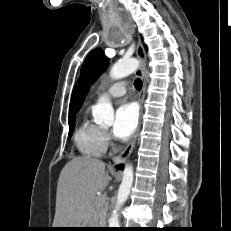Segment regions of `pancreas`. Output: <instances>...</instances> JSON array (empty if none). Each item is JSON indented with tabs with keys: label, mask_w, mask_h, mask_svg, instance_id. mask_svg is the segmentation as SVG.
Listing matches in <instances>:
<instances>
[{
	"label": "pancreas",
	"mask_w": 231,
	"mask_h": 231,
	"mask_svg": "<svg viewBox=\"0 0 231 231\" xmlns=\"http://www.w3.org/2000/svg\"><path fill=\"white\" fill-rule=\"evenodd\" d=\"M97 197L95 199V210H96V224H105V205L98 201Z\"/></svg>",
	"instance_id": "cf45deb5"
}]
</instances>
